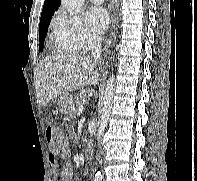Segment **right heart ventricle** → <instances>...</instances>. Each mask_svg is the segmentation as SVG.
<instances>
[{
  "label": "right heart ventricle",
  "instance_id": "1",
  "mask_svg": "<svg viewBox=\"0 0 197 181\" xmlns=\"http://www.w3.org/2000/svg\"><path fill=\"white\" fill-rule=\"evenodd\" d=\"M50 45L52 52L62 55H74L76 50L69 38L55 20L51 25Z\"/></svg>",
  "mask_w": 197,
  "mask_h": 181
}]
</instances>
